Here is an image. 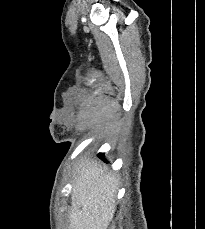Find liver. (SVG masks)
Returning <instances> with one entry per match:
<instances>
[{"label": "liver", "mask_w": 205, "mask_h": 229, "mask_svg": "<svg viewBox=\"0 0 205 229\" xmlns=\"http://www.w3.org/2000/svg\"><path fill=\"white\" fill-rule=\"evenodd\" d=\"M118 182L96 161L79 165L71 193L69 229H107L116 210Z\"/></svg>", "instance_id": "liver-1"}]
</instances>
